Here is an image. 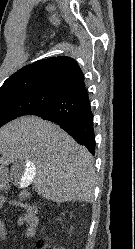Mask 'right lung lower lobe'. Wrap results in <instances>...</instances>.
Here are the masks:
<instances>
[{"label":"right lung lower lobe","instance_id":"98d812e1","mask_svg":"<svg viewBox=\"0 0 135 249\" xmlns=\"http://www.w3.org/2000/svg\"><path fill=\"white\" fill-rule=\"evenodd\" d=\"M28 115L40 116L60 125L77 142L86 146L91 153H95L93 113L86 86L62 92Z\"/></svg>","mask_w":135,"mask_h":249}]
</instances>
